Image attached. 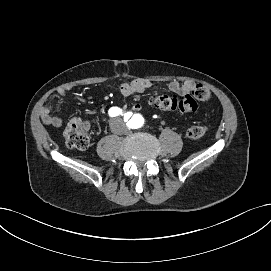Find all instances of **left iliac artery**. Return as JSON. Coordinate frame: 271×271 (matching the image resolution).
Listing matches in <instances>:
<instances>
[{"label":"left iliac artery","instance_id":"left-iliac-artery-1","mask_svg":"<svg viewBox=\"0 0 271 271\" xmlns=\"http://www.w3.org/2000/svg\"><path fill=\"white\" fill-rule=\"evenodd\" d=\"M127 114H126V116H127ZM129 116H131V114ZM136 117H137V115H133V117L131 118L132 122H131L130 128H138L139 126H141L142 121L141 120H136L135 119Z\"/></svg>","mask_w":271,"mask_h":271}]
</instances>
